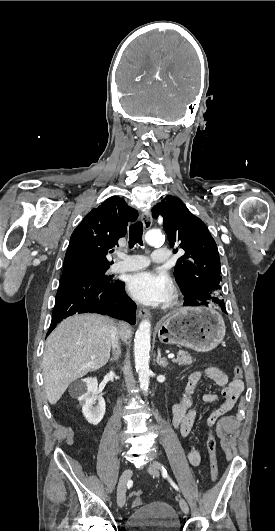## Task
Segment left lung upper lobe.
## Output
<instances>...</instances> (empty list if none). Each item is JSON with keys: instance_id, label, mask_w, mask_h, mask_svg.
<instances>
[{"instance_id": "5c2ea615", "label": "left lung upper lobe", "mask_w": 275, "mask_h": 531, "mask_svg": "<svg viewBox=\"0 0 275 531\" xmlns=\"http://www.w3.org/2000/svg\"><path fill=\"white\" fill-rule=\"evenodd\" d=\"M163 217V227L174 252L184 251L174 269L184 306H215L226 311L220 293L221 267L217 245L204 222L175 196H166L152 209Z\"/></svg>"}]
</instances>
